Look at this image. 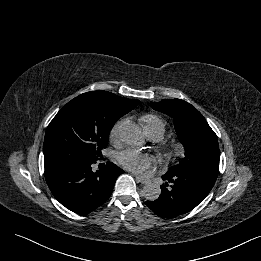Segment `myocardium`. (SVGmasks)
Instances as JSON below:
<instances>
[{"label": "myocardium", "mask_w": 261, "mask_h": 261, "mask_svg": "<svg viewBox=\"0 0 261 261\" xmlns=\"http://www.w3.org/2000/svg\"><path fill=\"white\" fill-rule=\"evenodd\" d=\"M158 151L162 157L168 158L173 153V147L169 145H161L159 146Z\"/></svg>", "instance_id": "1"}]
</instances>
